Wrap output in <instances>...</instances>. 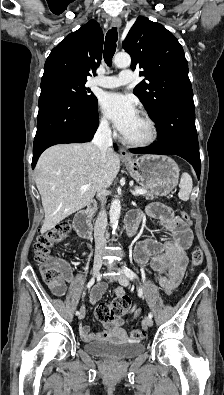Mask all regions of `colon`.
I'll return each instance as SVG.
<instances>
[{
    "label": "colon",
    "mask_w": 224,
    "mask_h": 395,
    "mask_svg": "<svg viewBox=\"0 0 224 395\" xmlns=\"http://www.w3.org/2000/svg\"><path fill=\"white\" fill-rule=\"evenodd\" d=\"M180 218L187 227L189 223V215L185 211L180 212ZM68 224H61L40 234L35 242V260L39 264L43 279L48 283H57L62 280L67 271V265L61 261L54 259L51 255V249L54 245L65 239L69 232ZM203 252L196 247L191 253V263L193 267H198L203 262ZM130 298L121 295L114 299L111 303H100L95 310L96 318L108 323L115 317L121 316L130 308ZM144 330L133 327L130 336L133 340H139L144 337Z\"/></svg>",
    "instance_id": "obj_1"
}]
</instances>
